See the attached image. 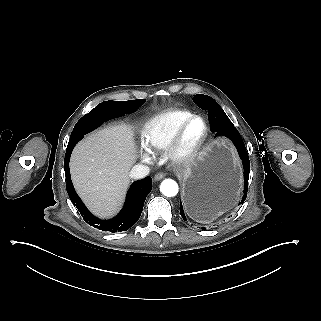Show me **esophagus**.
<instances>
[{"label":"esophagus","mask_w":321,"mask_h":321,"mask_svg":"<svg viewBox=\"0 0 321 321\" xmlns=\"http://www.w3.org/2000/svg\"><path fill=\"white\" fill-rule=\"evenodd\" d=\"M164 176H165V175H164L163 173H158V174H156V175L154 176V180H155V181H159V180L163 179Z\"/></svg>","instance_id":"obj_1"}]
</instances>
